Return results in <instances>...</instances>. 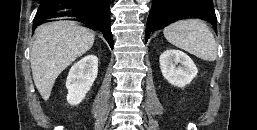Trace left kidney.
<instances>
[{"mask_svg":"<svg viewBox=\"0 0 257 130\" xmlns=\"http://www.w3.org/2000/svg\"><path fill=\"white\" fill-rule=\"evenodd\" d=\"M163 77L173 86L183 88L190 84L198 73L193 60L180 50H166L160 58Z\"/></svg>","mask_w":257,"mask_h":130,"instance_id":"left-kidney-1","label":"left kidney"}]
</instances>
